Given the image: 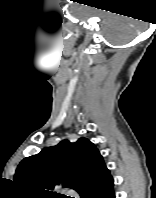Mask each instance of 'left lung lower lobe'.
<instances>
[{"label":"left lung lower lobe","mask_w":156,"mask_h":198,"mask_svg":"<svg viewBox=\"0 0 156 198\" xmlns=\"http://www.w3.org/2000/svg\"><path fill=\"white\" fill-rule=\"evenodd\" d=\"M113 186L114 180L107 170L96 183L79 194L81 198H115Z\"/></svg>","instance_id":"0a47b994"}]
</instances>
